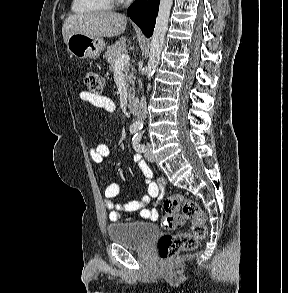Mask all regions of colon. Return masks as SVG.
I'll use <instances>...</instances> for the list:
<instances>
[{
    "instance_id": "colon-1",
    "label": "colon",
    "mask_w": 288,
    "mask_h": 293,
    "mask_svg": "<svg viewBox=\"0 0 288 293\" xmlns=\"http://www.w3.org/2000/svg\"><path fill=\"white\" fill-rule=\"evenodd\" d=\"M87 90L100 94L104 89V78L96 71H88L84 76ZM165 214L161 225L164 229L173 230L183 225L184 219L192 221L189 232L176 235H162L157 243L158 255L161 260H168L183 250L194 249L198 242L206 236V217L198 204L183 195H171L164 201Z\"/></svg>"
}]
</instances>
